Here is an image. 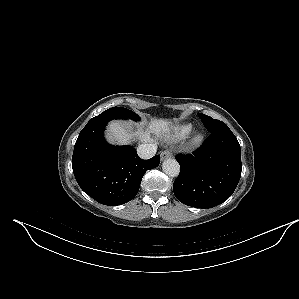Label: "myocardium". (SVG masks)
Listing matches in <instances>:
<instances>
[{"label": "myocardium", "mask_w": 299, "mask_h": 299, "mask_svg": "<svg viewBox=\"0 0 299 299\" xmlns=\"http://www.w3.org/2000/svg\"><path fill=\"white\" fill-rule=\"evenodd\" d=\"M204 139V135L201 132H196L192 135L190 139V144L193 147L199 146Z\"/></svg>", "instance_id": "myocardium-1"}]
</instances>
